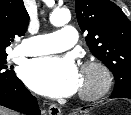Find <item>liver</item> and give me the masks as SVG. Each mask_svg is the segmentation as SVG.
Here are the masks:
<instances>
[{
  "label": "liver",
  "instance_id": "1",
  "mask_svg": "<svg viewBox=\"0 0 131 115\" xmlns=\"http://www.w3.org/2000/svg\"><path fill=\"white\" fill-rule=\"evenodd\" d=\"M0 115H16V113L0 106Z\"/></svg>",
  "mask_w": 131,
  "mask_h": 115
}]
</instances>
